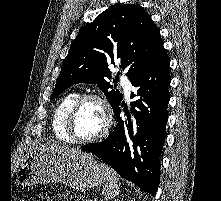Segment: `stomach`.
Wrapping results in <instances>:
<instances>
[{
  "instance_id": "obj_1",
  "label": "stomach",
  "mask_w": 221,
  "mask_h": 201,
  "mask_svg": "<svg viewBox=\"0 0 221 201\" xmlns=\"http://www.w3.org/2000/svg\"><path fill=\"white\" fill-rule=\"evenodd\" d=\"M16 175L22 186L62 182L79 191L98 188L106 181L101 164L82 151H34L23 160Z\"/></svg>"
}]
</instances>
